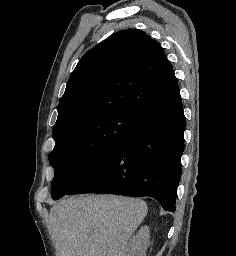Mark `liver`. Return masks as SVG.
Returning <instances> with one entry per match:
<instances>
[{
  "instance_id": "6515ba94",
  "label": "liver",
  "mask_w": 236,
  "mask_h": 256,
  "mask_svg": "<svg viewBox=\"0 0 236 256\" xmlns=\"http://www.w3.org/2000/svg\"><path fill=\"white\" fill-rule=\"evenodd\" d=\"M147 212L143 200L108 194L60 200L49 216L56 256H127Z\"/></svg>"
}]
</instances>
